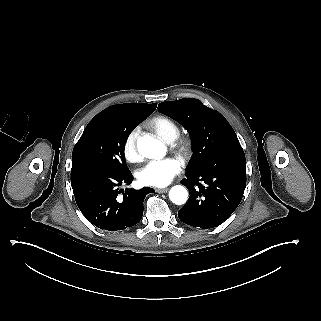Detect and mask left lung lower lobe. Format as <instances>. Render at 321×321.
Masks as SVG:
<instances>
[{
	"instance_id": "1",
	"label": "left lung lower lobe",
	"mask_w": 321,
	"mask_h": 321,
	"mask_svg": "<svg viewBox=\"0 0 321 321\" xmlns=\"http://www.w3.org/2000/svg\"><path fill=\"white\" fill-rule=\"evenodd\" d=\"M190 193L179 219L202 229L222 224L239 205L246 187V159L242 148L213 155L203 165L186 172L181 181Z\"/></svg>"
}]
</instances>
